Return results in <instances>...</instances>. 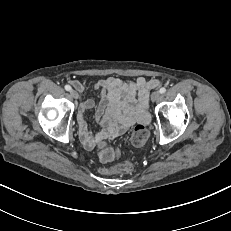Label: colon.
Listing matches in <instances>:
<instances>
[{"label": "colon", "mask_w": 231, "mask_h": 231, "mask_svg": "<svg viewBox=\"0 0 231 231\" xmlns=\"http://www.w3.org/2000/svg\"><path fill=\"white\" fill-rule=\"evenodd\" d=\"M149 138V132L144 125H137L131 134V144L134 147H142L146 144ZM119 154V151L109 145L101 144L98 149V156L102 162H110L114 160ZM102 172L107 174H129L133 171V163L130 160L101 169Z\"/></svg>", "instance_id": "obj_1"}]
</instances>
